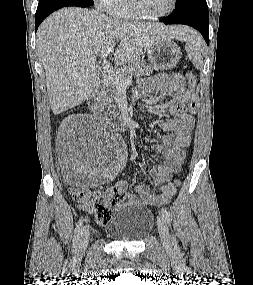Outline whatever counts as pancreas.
Here are the masks:
<instances>
[{
  "instance_id": "obj_1",
  "label": "pancreas",
  "mask_w": 253,
  "mask_h": 285,
  "mask_svg": "<svg viewBox=\"0 0 253 285\" xmlns=\"http://www.w3.org/2000/svg\"><path fill=\"white\" fill-rule=\"evenodd\" d=\"M153 67L146 65L144 62H132L128 65L122 67L117 71L119 75L122 77L127 76H149L153 73ZM100 87V98L105 107L108 109L115 110L116 106L114 105V102L117 100V88L118 85L114 84L111 80L106 79L101 83Z\"/></svg>"
}]
</instances>
